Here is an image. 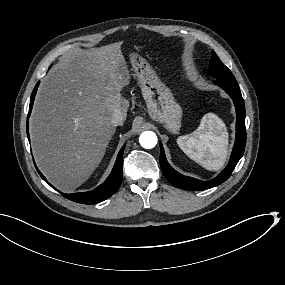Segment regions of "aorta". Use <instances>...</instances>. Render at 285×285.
<instances>
[{
    "mask_svg": "<svg viewBox=\"0 0 285 285\" xmlns=\"http://www.w3.org/2000/svg\"><path fill=\"white\" fill-rule=\"evenodd\" d=\"M141 146L145 149H152L157 144V136L152 131H144L139 137Z\"/></svg>",
    "mask_w": 285,
    "mask_h": 285,
    "instance_id": "762f6f07",
    "label": "aorta"
}]
</instances>
